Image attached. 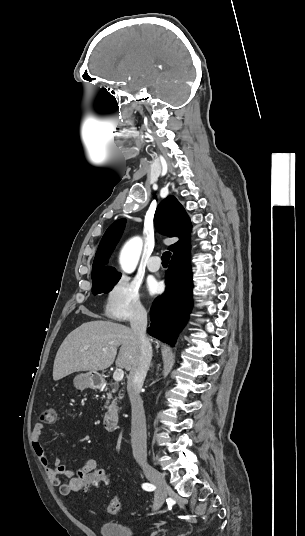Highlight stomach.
<instances>
[{"instance_id": "stomach-1", "label": "stomach", "mask_w": 305, "mask_h": 536, "mask_svg": "<svg viewBox=\"0 0 305 536\" xmlns=\"http://www.w3.org/2000/svg\"><path fill=\"white\" fill-rule=\"evenodd\" d=\"M73 384L76 390H85V388H99L104 384L103 378H100L98 374L94 372H88V374H79L75 376Z\"/></svg>"}]
</instances>
